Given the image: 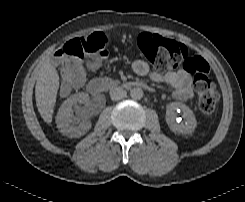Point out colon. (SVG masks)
<instances>
[{
    "label": "colon",
    "instance_id": "colon-1",
    "mask_svg": "<svg viewBox=\"0 0 245 202\" xmlns=\"http://www.w3.org/2000/svg\"><path fill=\"white\" fill-rule=\"evenodd\" d=\"M110 43L109 36L96 33L87 39H71L61 45L55 52V57L61 62V81L71 85L78 84L81 78L78 66L73 59H87L94 65L105 62L109 56ZM135 43L140 54L156 70L166 72L182 67L193 73L199 110L205 115H211L214 112L218 92L205 60L193 56L184 43L165 40L150 33H140Z\"/></svg>",
    "mask_w": 245,
    "mask_h": 202
}]
</instances>
